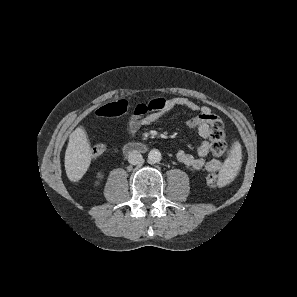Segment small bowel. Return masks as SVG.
I'll use <instances>...</instances> for the list:
<instances>
[{
  "mask_svg": "<svg viewBox=\"0 0 297 297\" xmlns=\"http://www.w3.org/2000/svg\"><path fill=\"white\" fill-rule=\"evenodd\" d=\"M148 108L144 114H133L127 124L130 135H135L141 126L150 125L160 119L163 115L176 107H184L196 114L187 120V126L197 130L202 138L196 150V155H192L184 150L176 153L177 160L186 167L194 170H206L207 172H217L223 162L219 159L206 160L210 150L209 140L211 139V124L216 116L207 106H200L191 99L183 96L170 98H154L145 103Z\"/></svg>",
  "mask_w": 297,
  "mask_h": 297,
  "instance_id": "obj_1",
  "label": "small bowel"
}]
</instances>
